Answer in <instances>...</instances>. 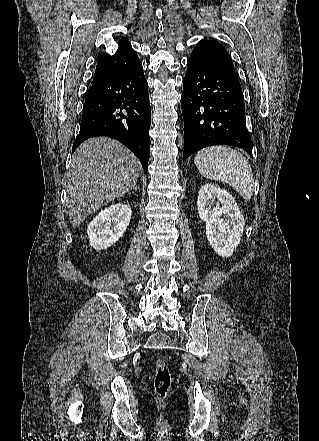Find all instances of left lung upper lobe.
<instances>
[{
  "mask_svg": "<svg viewBox=\"0 0 319 441\" xmlns=\"http://www.w3.org/2000/svg\"><path fill=\"white\" fill-rule=\"evenodd\" d=\"M190 56L238 79L229 53L217 41L206 39L199 41Z\"/></svg>",
  "mask_w": 319,
  "mask_h": 441,
  "instance_id": "left-lung-upper-lobe-1",
  "label": "left lung upper lobe"
}]
</instances>
